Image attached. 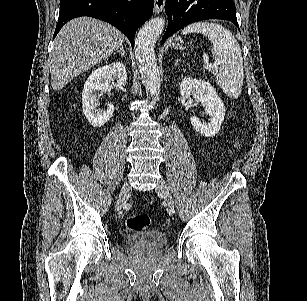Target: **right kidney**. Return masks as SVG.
Listing matches in <instances>:
<instances>
[{"label":"right kidney","instance_id":"1","mask_svg":"<svg viewBox=\"0 0 307 301\" xmlns=\"http://www.w3.org/2000/svg\"><path fill=\"white\" fill-rule=\"evenodd\" d=\"M111 82L117 86H124L127 82V72L123 62H111L92 70L82 90V108L88 122L92 126H103L110 120L114 112V104H106V108L99 110V96L104 90H108Z\"/></svg>","mask_w":307,"mask_h":301}]
</instances>
